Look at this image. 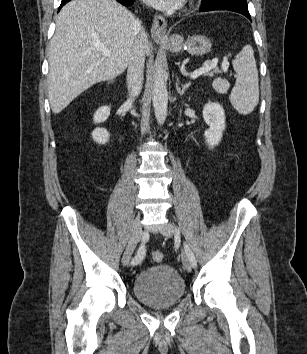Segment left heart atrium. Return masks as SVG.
I'll list each match as a JSON object with an SVG mask.
<instances>
[{
	"mask_svg": "<svg viewBox=\"0 0 307 354\" xmlns=\"http://www.w3.org/2000/svg\"><path fill=\"white\" fill-rule=\"evenodd\" d=\"M147 4L160 10H173L178 8L184 0H143Z\"/></svg>",
	"mask_w": 307,
	"mask_h": 354,
	"instance_id": "39dd6f15",
	"label": "left heart atrium"
}]
</instances>
